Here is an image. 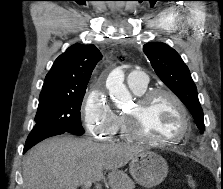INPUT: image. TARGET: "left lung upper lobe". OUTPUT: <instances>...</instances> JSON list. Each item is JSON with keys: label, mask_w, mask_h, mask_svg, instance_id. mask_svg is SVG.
Here are the masks:
<instances>
[{"label": "left lung upper lobe", "mask_w": 223, "mask_h": 189, "mask_svg": "<svg viewBox=\"0 0 223 189\" xmlns=\"http://www.w3.org/2000/svg\"><path fill=\"white\" fill-rule=\"evenodd\" d=\"M143 51L157 76L186 105L203 133L205 125L197 88L179 54L162 42L147 43L143 46Z\"/></svg>", "instance_id": "5c2ea615"}]
</instances>
